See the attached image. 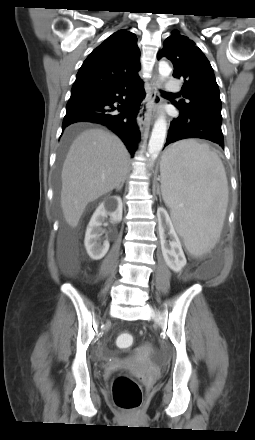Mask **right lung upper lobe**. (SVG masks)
I'll return each instance as SVG.
<instances>
[{"label": "right lung upper lobe", "mask_w": 255, "mask_h": 440, "mask_svg": "<svg viewBox=\"0 0 255 440\" xmlns=\"http://www.w3.org/2000/svg\"><path fill=\"white\" fill-rule=\"evenodd\" d=\"M140 50L136 35L119 30L95 48L79 69L71 94L109 87L138 75Z\"/></svg>", "instance_id": "obj_1"}]
</instances>
